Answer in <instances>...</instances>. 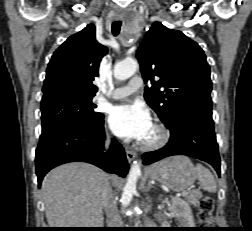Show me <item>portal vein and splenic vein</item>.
I'll return each mask as SVG.
<instances>
[{"instance_id":"18ae733b","label":"portal vein and splenic vein","mask_w":252,"mask_h":231,"mask_svg":"<svg viewBox=\"0 0 252 231\" xmlns=\"http://www.w3.org/2000/svg\"><path fill=\"white\" fill-rule=\"evenodd\" d=\"M185 195H186V192H182V193L177 194V196H185Z\"/></svg>"}]
</instances>
